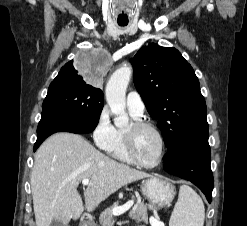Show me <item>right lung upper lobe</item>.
I'll use <instances>...</instances> for the list:
<instances>
[{"label": "right lung upper lobe", "mask_w": 247, "mask_h": 226, "mask_svg": "<svg viewBox=\"0 0 247 226\" xmlns=\"http://www.w3.org/2000/svg\"><path fill=\"white\" fill-rule=\"evenodd\" d=\"M74 70V67H73V61H69L68 63L65 64V66H63L59 72V75H62V74H65V73H68L70 71H73ZM102 93L101 90H98ZM103 94V93H102Z\"/></svg>", "instance_id": "obj_1"}]
</instances>
